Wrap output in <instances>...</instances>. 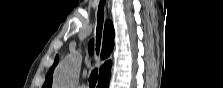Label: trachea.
<instances>
[{"label":"trachea","mask_w":223,"mask_h":88,"mask_svg":"<svg viewBox=\"0 0 223 88\" xmlns=\"http://www.w3.org/2000/svg\"><path fill=\"white\" fill-rule=\"evenodd\" d=\"M105 0L100 1V5L98 8V13H97V33H96V38H97V53L99 52L100 49V43H101V33H102V27H103V20H104V6ZM97 77H98V71L95 69L91 72L90 78H89V86L90 88H95L96 83H97Z\"/></svg>","instance_id":"3493384b"}]
</instances>
